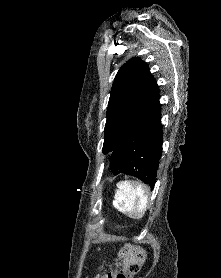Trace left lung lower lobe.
<instances>
[{
  "label": "left lung lower lobe",
  "instance_id": "obj_1",
  "mask_svg": "<svg viewBox=\"0 0 221 278\" xmlns=\"http://www.w3.org/2000/svg\"><path fill=\"white\" fill-rule=\"evenodd\" d=\"M159 89L130 130L111 152L110 169L117 175H132L152 188L162 154Z\"/></svg>",
  "mask_w": 221,
  "mask_h": 278
}]
</instances>
